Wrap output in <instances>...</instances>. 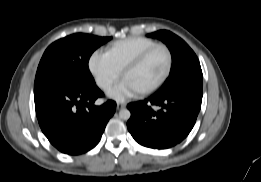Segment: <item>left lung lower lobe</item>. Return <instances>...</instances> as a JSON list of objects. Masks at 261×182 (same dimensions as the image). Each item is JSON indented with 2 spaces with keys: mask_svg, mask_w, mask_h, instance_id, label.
<instances>
[{
  "mask_svg": "<svg viewBox=\"0 0 261 182\" xmlns=\"http://www.w3.org/2000/svg\"><path fill=\"white\" fill-rule=\"evenodd\" d=\"M202 102V84H194L170 94H153L130 103L127 127L132 137L149 148L166 149L180 143L192 130ZM153 106L159 107L154 110Z\"/></svg>",
  "mask_w": 261,
  "mask_h": 182,
  "instance_id": "1",
  "label": "left lung lower lobe"
}]
</instances>
